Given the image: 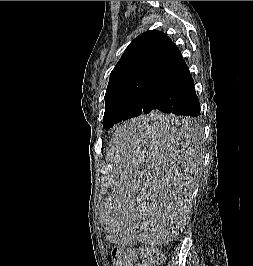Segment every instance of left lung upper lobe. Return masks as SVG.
<instances>
[{"label":"left lung upper lobe","instance_id":"5c2ea615","mask_svg":"<svg viewBox=\"0 0 253 266\" xmlns=\"http://www.w3.org/2000/svg\"><path fill=\"white\" fill-rule=\"evenodd\" d=\"M171 43L163 32L150 30L128 45L110 74L105 93L104 129L142 114L150 81Z\"/></svg>","mask_w":253,"mask_h":266}]
</instances>
